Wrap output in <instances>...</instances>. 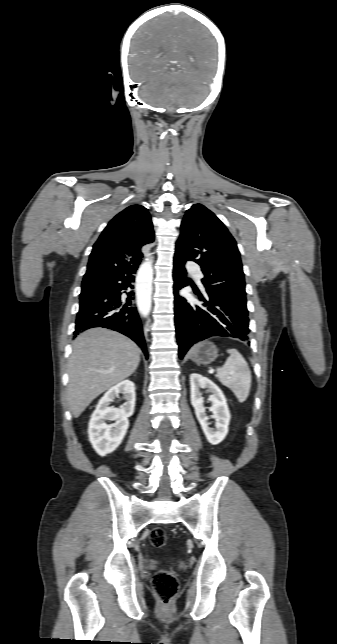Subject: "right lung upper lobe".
<instances>
[{
	"label": "right lung upper lobe",
	"mask_w": 337,
	"mask_h": 644,
	"mask_svg": "<svg viewBox=\"0 0 337 644\" xmlns=\"http://www.w3.org/2000/svg\"><path fill=\"white\" fill-rule=\"evenodd\" d=\"M154 241L148 210L131 205L117 214L93 246L82 284L101 282L131 265H139L142 246Z\"/></svg>",
	"instance_id": "1"
}]
</instances>
